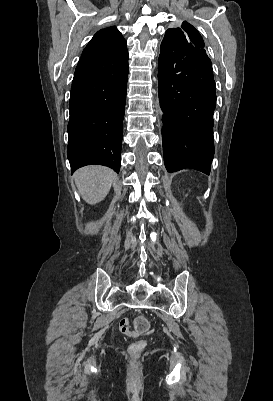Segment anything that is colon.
I'll return each mask as SVG.
<instances>
[{
    "mask_svg": "<svg viewBox=\"0 0 273 401\" xmlns=\"http://www.w3.org/2000/svg\"><path fill=\"white\" fill-rule=\"evenodd\" d=\"M140 318H144V315H140ZM135 331L139 334L145 333L149 328L145 319H137L135 321ZM148 340L146 337H139L137 340H129L127 342V349L124 350L125 358H140L141 353H145L147 348ZM137 372V369H134ZM132 380H137L139 375L137 373H132L130 375Z\"/></svg>",
    "mask_w": 273,
    "mask_h": 401,
    "instance_id": "colon-1",
    "label": "colon"
}]
</instances>
